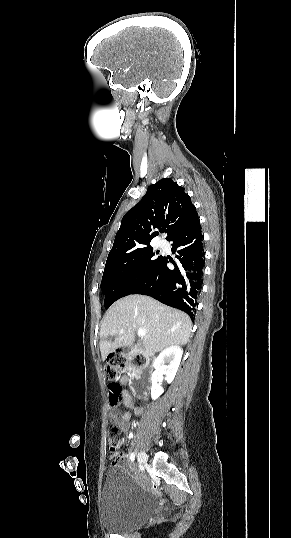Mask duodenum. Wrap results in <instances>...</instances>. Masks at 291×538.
I'll return each mask as SVG.
<instances>
[{
  "label": "duodenum",
  "mask_w": 291,
  "mask_h": 538,
  "mask_svg": "<svg viewBox=\"0 0 291 538\" xmlns=\"http://www.w3.org/2000/svg\"><path fill=\"white\" fill-rule=\"evenodd\" d=\"M122 352L126 355H134L137 353H140L139 349L131 348V347H125L122 349ZM154 357L152 355H148L146 357V360H144V364L141 365L142 372H145L146 374L139 373V372H131L129 374V377L131 378L132 382V395L136 398H139L141 396H145L147 392H151L153 385H152V379L147 375L151 372V369H153L154 364Z\"/></svg>",
  "instance_id": "410a0bca"
}]
</instances>
